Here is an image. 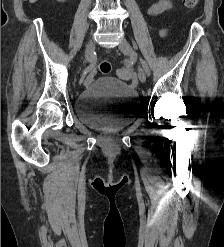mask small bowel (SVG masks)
<instances>
[{"instance_id":"1","label":"small bowel","mask_w":224,"mask_h":247,"mask_svg":"<svg viewBox=\"0 0 224 247\" xmlns=\"http://www.w3.org/2000/svg\"><path fill=\"white\" fill-rule=\"evenodd\" d=\"M173 8L172 3L170 0H159L158 2L152 4L147 13L151 16L159 15L165 11H169ZM162 34H164V31H162Z\"/></svg>"}]
</instances>
